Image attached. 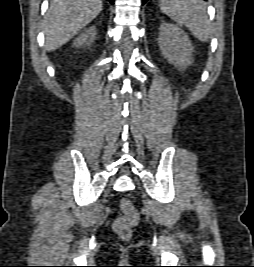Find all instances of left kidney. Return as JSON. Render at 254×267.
<instances>
[{"label": "left kidney", "instance_id": "left-kidney-1", "mask_svg": "<svg viewBox=\"0 0 254 267\" xmlns=\"http://www.w3.org/2000/svg\"><path fill=\"white\" fill-rule=\"evenodd\" d=\"M158 45L164 57L181 70L192 64V43L177 25L161 23Z\"/></svg>", "mask_w": 254, "mask_h": 267}]
</instances>
